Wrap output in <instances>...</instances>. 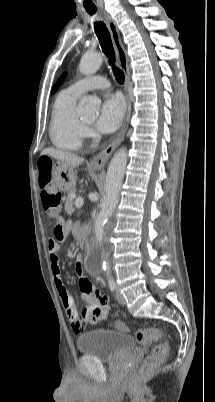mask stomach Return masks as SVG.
Instances as JSON below:
<instances>
[{"label":"stomach","instance_id":"obj_1","mask_svg":"<svg viewBox=\"0 0 215 402\" xmlns=\"http://www.w3.org/2000/svg\"><path fill=\"white\" fill-rule=\"evenodd\" d=\"M76 175L77 172L74 168L69 167L60 161L53 162V167L51 169L52 181L60 190L70 191L71 189H74L76 185Z\"/></svg>","mask_w":215,"mask_h":402}]
</instances>
